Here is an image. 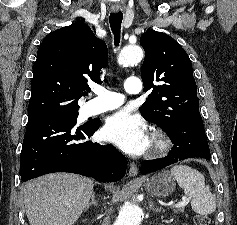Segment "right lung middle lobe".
Listing matches in <instances>:
<instances>
[{"label": "right lung middle lobe", "instance_id": "dd1d6c3e", "mask_svg": "<svg viewBox=\"0 0 237 225\" xmlns=\"http://www.w3.org/2000/svg\"><path fill=\"white\" fill-rule=\"evenodd\" d=\"M54 117H58V118H63L69 121H75L77 120L78 117V112H73V113H67V114H61V115H57Z\"/></svg>", "mask_w": 237, "mask_h": 225}]
</instances>
